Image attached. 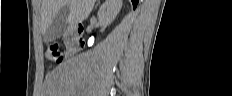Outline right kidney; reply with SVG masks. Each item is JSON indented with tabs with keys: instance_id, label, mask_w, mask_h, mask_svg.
<instances>
[{
	"instance_id": "right-kidney-1",
	"label": "right kidney",
	"mask_w": 232,
	"mask_h": 96,
	"mask_svg": "<svg viewBox=\"0 0 232 96\" xmlns=\"http://www.w3.org/2000/svg\"><path fill=\"white\" fill-rule=\"evenodd\" d=\"M122 7V0H106L98 11V20L101 25L107 27L116 18Z\"/></svg>"
}]
</instances>
